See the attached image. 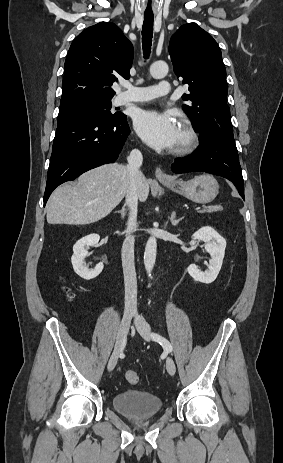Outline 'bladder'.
Returning a JSON list of instances; mask_svg holds the SVG:
<instances>
[{
    "label": "bladder",
    "mask_w": 283,
    "mask_h": 463,
    "mask_svg": "<svg viewBox=\"0 0 283 463\" xmlns=\"http://www.w3.org/2000/svg\"><path fill=\"white\" fill-rule=\"evenodd\" d=\"M114 409L131 419H144L158 414L163 406L161 399L141 390H126L112 398Z\"/></svg>",
    "instance_id": "bladder-1"
}]
</instances>
